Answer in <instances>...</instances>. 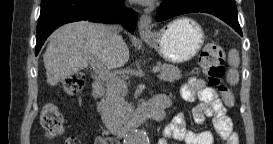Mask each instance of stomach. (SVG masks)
Segmentation results:
<instances>
[{"mask_svg": "<svg viewBox=\"0 0 273 144\" xmlns=\"http://www.w3.org/2000/svg\"><path fill=\"white\" fill-rule=\"evenodd\" d=\"M143 40L163 59L176 64L195 57L204 43L205 35L197 22L182 17L169 23L152 37H143Z\"/></svg>", "mask_w": 273, "mask_h": 144, "instance_id": "stomach-1", "label": "stomach"}]
</instances>
